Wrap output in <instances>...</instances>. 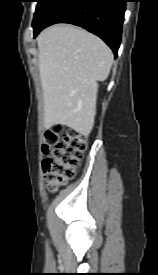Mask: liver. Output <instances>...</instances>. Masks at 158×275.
<instances>
[{
    "label": "liver",
    "instance_id": "6515ba94",
    "mask_svg": "<svg viewBox=\"0 0 158 275\" xmlns=\"http://www.w3.org/2000/svg\"><path fill=\"white\" fill-rule=\"evenodd\" d=\"M44 126H68L88 136L94 125L98 81L107 79L111 49L97 36L71 25H54L37 37Z\"/></svg>",
    "mask_w": 158,
    "mask_h": 275
}]
</instances>
